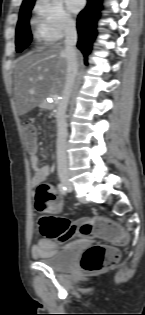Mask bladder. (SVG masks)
<instances>
[{"label": "bladder", "mask_w": 145, "mask_h": 315, "mask_svg": "<svg viewBox=\"0 0 145 315\" xmlns=\"http://www.w3.org/2000/svg\"><path fill=\"white\" fill-rule=\"evenodd\" d=\"M69 249L79 248H64L57 251L51 257L44 258L42 262L49 268L55 271H65L71 268L76 260V256H69Z\"/></svg>", "instance_id": "1"}]
</instances>
